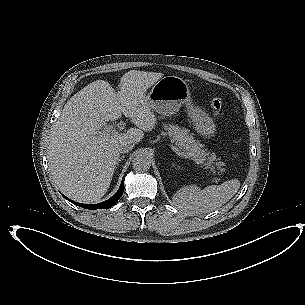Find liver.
Instances as JSON below:
<instances>
[{
	"label": "liver",
	"instance_id": "1",
	"mask_svg": "<svg viewBox=\"0 0 305 305\" xmlns=\"http://www.w3.org/2000/svg\"><path fill=\"white\" fill-rule=\"evenodd\" d=\"M162 76L155 74L152 82ZM151 109L142 89L122 87L116 92L104 80L94 81L73 95L52 126L48 140L49 170L58 187L76 201H99L110 186L120 141L137 143L143 131H151L156 125ZM122 114L139 129L104 133L105 122L115 121Z\"/></svg>",
	"mask_w": 305,
	"mask_h": 305
}]
</instances>
